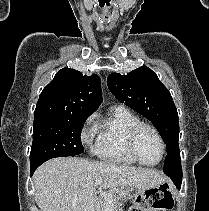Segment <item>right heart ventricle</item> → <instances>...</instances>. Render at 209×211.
Returning a JSON list of instances; mask_svg holds the SVG:
<instances>
[{"instance_id":"e07e8e85","label":"right heart ventricle","mask_w":209,"mask_h":211,"mask_svg":"<svg viewBox=\"0 0 209 211\" xmlns=\"http://www.w3.org/2000/svg\"><path fill=\"white\" fill-rule=\"evenodd\" d=\"M137 122L139 119L129 110L113 109L96 126L97 136L93 153L106 162L135 165L137 162L131 157L126 147V137L130 128Z\"/></svg>"}]
</instances>
